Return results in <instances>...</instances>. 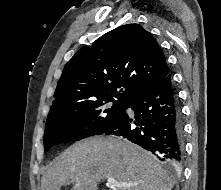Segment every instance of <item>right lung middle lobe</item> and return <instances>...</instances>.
Masks as SVG:
<instances>
[{"mask_svg":"<svg viewBox=\"0 0 221 190\" xmlns=\"http://www.w3.org/2000/svg\"><path fill=\"white\" fill-rule=\"evenodd\" d=\"M126 100L106 97L50 110L44 134L45 152L52 146L100 135L122 118Z\"/></svg>","mask_w":221,"mask_h":190,"instance_id":"1","label":"right lung middle lobe"}]
</instances>
